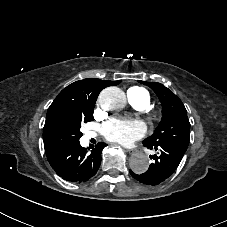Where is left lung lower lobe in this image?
Wrapping results in <instances>:
<instances>
[{"mask_svg":"<svg viewBox=\"0 0 227 227\" xmlns=\"http://www.w3.org/2000/svg\"><path fill=\"white\" fill-rule=\"evenodd\" d=\"M145 146L151 150L158 151V154L153 156L155 162L141 175H137L131 170L130 174L146 185H157L173 174L182 160L185 151L165 143L155 145L145 144Z\"/></svg>","mask_w":227,"mask_h":227,"instance_id":"0a47b994","label":"left lung lower lobe"}]
</instances>
